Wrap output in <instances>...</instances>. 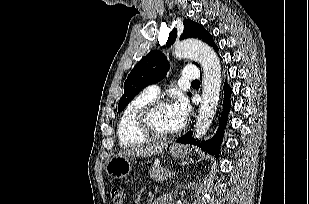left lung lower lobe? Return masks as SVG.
I'll return each mask as SVG.
<instances>
[{"mask_svg":"<svg viewBox=\"0 0 309 204\" xmlns=\"http://www.w3.org/2000/svg\"><path fill=\"white\" fill-rule=\"evenodd\" d=\"M216 52H218V50ZM231 93H232V89L227 84V82H225V84H224L223 112H222V115H221V118H220L219 129H218V131H217V133H216V135L214 136L213 139H211L209 141L199 142L198 140L196 141L192 137V131H189L188 133H186L182 137L178 138L177 142L182 143V144H189V143L196 144V145L200 146L202 149H204L205 151H207L208 153L215 154L218 157L219 154H220L221 139L223 138V134H224L223 133L224 126H225V123L227 122L228 112H229V109L231 107V102H230Z\"/></svg>","mask_w":309,"mask_h":204,"instance_id":"obj_1","label":"left lung lower lobe"}]
</instances>
